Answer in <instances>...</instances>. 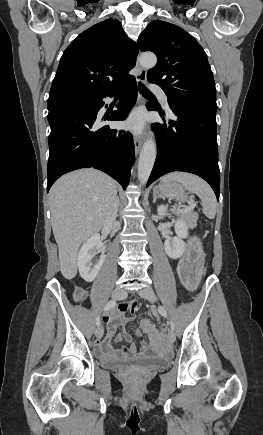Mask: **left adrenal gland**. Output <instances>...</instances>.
<instances>
[{"label":"left adrenal gland","instance_id":"obj_1","mask_svg":"<svg viewBox=\"0 0 263 435\" xmlns=\"http://www.w3.org/2000/svg\"><path fill=\"white\" fill-rule=\"evenodd\" d=\"M160 197L161 196L159 195V193L156 190H154V192H153V203H155L156 199L160 198Z\"/></svg>","mask_w":263,"mask_h":435}]
</instances>
